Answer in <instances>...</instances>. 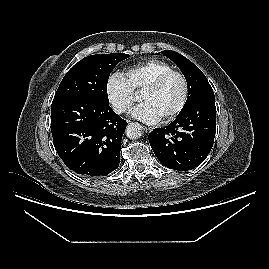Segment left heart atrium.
I'll return each mask as SVG.
<instances>
[{"label":"left heart atrium","mask_w":269,"mask_h":269,"mask_svg":"<svg viewBox=\"0 0 269 269\" xmlns=\"http://www.w3.org/2000/svg\"><path fill=\"white\" fill-rule=\"evenodd\" d=\"M131 116L135 119L143 121L145 123H156L160 120V117L148 102H142L135 106L131 112Z\"/></svg>","instance_id":"39dd6f15"}]
</instances>
